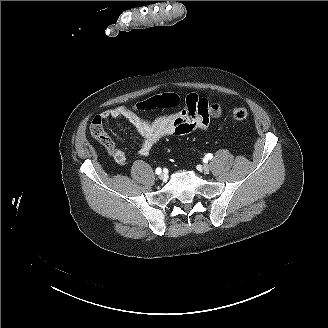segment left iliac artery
I'll return each instance as SVG.
<instances>
[{
  "label": "left iliac artery",
  "instance_id": "obj_1",
  "mask_svg": "<svg viewBox=\"0 0 328 328\" xmlns=\"http://www.w3.org/2000/svg\"><path fill=\"white\" fill-rule=\"evenodd\" d=\"M207 159L211 160L213 158V155L211 153H208L206 156H205Z\"/></svg>",
  "mask_w": 328,
  "mask_h": 328
}]
</instances>
